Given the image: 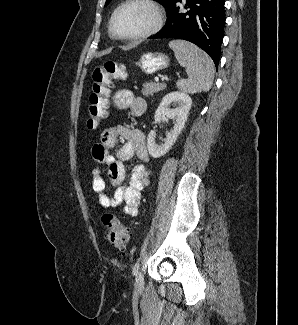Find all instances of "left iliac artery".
Returning a JSON list of instances; mask_svg holds the SVG:
<instances>
[{
  "label": "left iliac artery",
  "instance_id": "obj_1",
  "mask_svg": "<svg viewBox=\"0 0 298 325\" xmlns=\"http://www.w3.org/2000/svg\"><path fill=\"white\" fill-rule=\"evenodd\" d=\"M139 267H140V264H139V261H137L133 266V274L134 275H137Z\"/></svg>",
  "mask_w": 298,
  "mask_h": 325
}]
</instances>
